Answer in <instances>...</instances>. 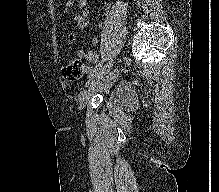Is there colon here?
I'll list each match as a JSON object with an SVG mask.
<instances>
[{
    "label": "colon",
    "instance_id": "1",
    "mask_svg": "<svg viewBox=\"0 0 219 192\" xmlns=\"http://www.w3.org/2000/svg\"><path fill=\"white\" fill-rule=\"evenodd\" d=\"M83 70V65L80 62L77 60H72L63 67L62 72L66 79L76 80L82 76Z\"/></svg>",
    "mask_w": 219,
    "mask_h": 192
}]
</instances>
